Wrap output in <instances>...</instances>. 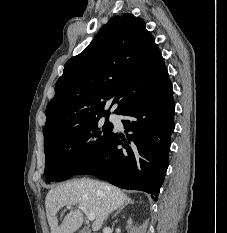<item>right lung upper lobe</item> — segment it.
Returning a JSON list of instances; mask_svg holds the SVG:
<instances>
[{
	"mask_svg": "<svg viewBox=\"0 0 227 233\" xmlns=\"http://www.w3.org/2000/svg\"><path fill=\"white\" fill-rule=\"evenodd\" d=\"M169 80L164 60L145 22L133 14L115 16L90 45L69 59L47 104L45 145L86 122L108 115L115 97L116 114Z\"/></svg>",
	"mask_w": 227,
	"mask_h": 233,
	"instance_id": "right-lung-upper-lobe-1",
	"label": "right lung upper lobe"
}]
</instances>
